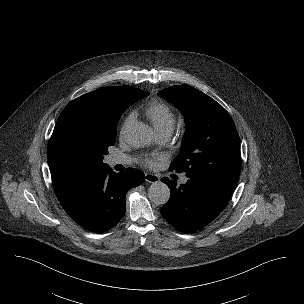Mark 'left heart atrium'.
Masks as SVG:
<instances>
[{"label":"left heart atrium","instance_id":"obj_1","mask_svg":"<svg viewBox=\"0 0 304 304\" xmlns=\"http://www.w3.org/2000/svg\"><path fill=\"white\" fill-rule=\"evenodd\" d=\"M143 164L146 166H153L155 161L151 158H145L142 160Z\"/></svg>","mask_w":304,"mask_h":304}]
</instances>
